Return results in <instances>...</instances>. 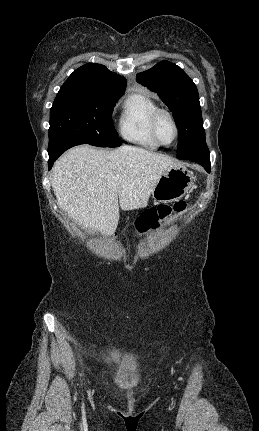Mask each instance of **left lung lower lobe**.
I'll use <instances>...</instances> for the list:
<instances>
[{"instance_id":"obj_1","label":"left lung lower lobe","mask_w":259,"mask_h":431,"mask_svg":"<svg viewBox=\"0 0 259 431\" xmlns=\"http://www.w3.org/2000/svg\"><path fill=\"white\" fill-rule=\"evenodd\" d=\"M188 160H191V161H194V162L201 164L202 166H204V168L207 172H210V157H209V155L193 157V158H190Z\"/></svg>"}]
</instances>
